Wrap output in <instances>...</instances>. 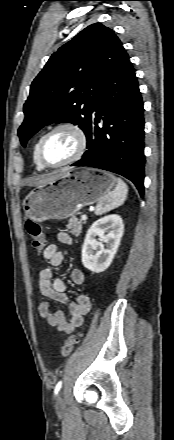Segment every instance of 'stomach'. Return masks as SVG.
I'll use <instances>...</instances> for the list:
<instances>
[{"instance_id": "obj_1", "label": "stomach", "mask_w": 174, "mask_h": 440, "mask_svg": "<svg viewBox=\"0 0 174 440\" xmlns=\"http://www.w3.org/2000/svg\"><path fill=\"white\" fill-rule=\"evenodd\" d=\"M116 183L109 172L85 167L69 170L33 189L23 200V210L37 222L66 219L101 200Z\"/></svg>"}]
</instances>
